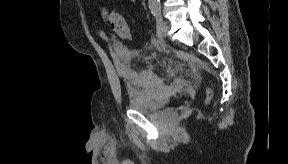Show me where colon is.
Returning a JSON list of instances; mask_svg holds the SVG:
<instances>
[{"instance_id": "5ec220e1", "label": "colon", "mask_w": 288, "mask_h": 164, "mask_svg": "<svg viewBox=\"0 0 288 164\" xmlns=\"http://www.w3.org/2000/svg\"><path fill=\"white\" fill-rule=\"evenodd\" d=\"M106 21L109 23L110 28L121 35L122 37L129 39V33L127 31V22L123 16L114 9H109L104 12ZM212 96L211 90L207 89L206 98L209 100Z\"/></svg>"}]
</instances>
